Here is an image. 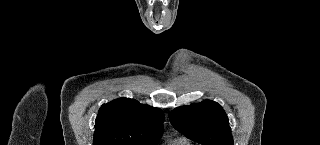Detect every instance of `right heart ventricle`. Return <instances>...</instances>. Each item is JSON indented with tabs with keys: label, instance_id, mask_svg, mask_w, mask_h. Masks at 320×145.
Returning <instances> with one entry per match:
<instances>
[{
	"label": "right heart ventricle",
	"instance_id": "1",
	"mask_svg": "<svg viewBox=\"0 0 320 145\" xmlns=\"http://www.w3.org/2000/svg\"><path fill=\"white\" fill-rule=\"evenodd\" d=\"M169 145H192L191 142L185 137H178L169 142Z\"/></svg>",
	"mask_w": 320,
	"mask_h": 145
}]
</instances>
